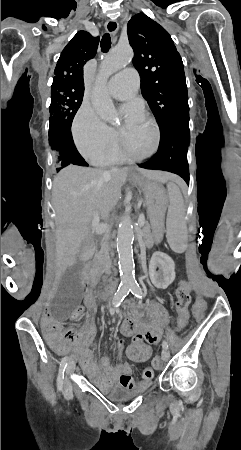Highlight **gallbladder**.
I'll use <instances>...</instances> for the list:
<instances>
[{
  "label": "gallbladder",
  "mask_w": 241,
  "mask_h": 450,
  "mask_svg": "<svg viewBox=\"0 0 241 450\" xmlns=\"http://www.w3.org/2000/svg\"><path fill=\"white\" fill-rule=\"evenodd\" d=\"M84 262H77L75 266L65 272L59 283V291L54 296V301H49V310H52L53 319L56 323H66L69 315L79 309L83 288L81 281Z\"/></svg>",
  "instance_id": "obj_1"
}]
</instances>
